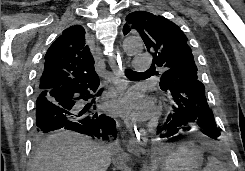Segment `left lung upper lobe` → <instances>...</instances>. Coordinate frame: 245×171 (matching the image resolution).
I'll return each instance as SVG.
<instances>
[{"label": "left lung upper lobe", "mask_w": 245, "mask_h": 171, "mask_svg": "<svg viewBox=\"0 0 245 171\" xmlns=\"http://www.w3.org/2000/svg\"><path fill=\"white\" fill-rule=\"evenodd\" d=\"M126 20L130 26L124 25L123 33L126 35L131 29L136 30L147 50L153 54V66L166 68L160 78L163 91L181 78L199 80L188 38L179 26L163 16L145 11L132 12Z\"/></svg>", "instance_id": "left-lung-upper-lobe-1"}]
</instances>
